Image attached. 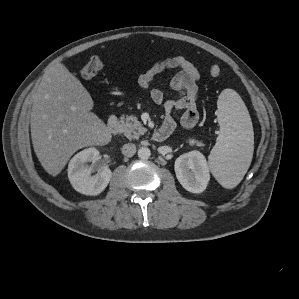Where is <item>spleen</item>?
Returning <instances> with one entry per match:
<instances>
[{"instance_id":"3e777b00","label":"spleen","mask_w":299,"mask_h":299,"mask_svg":"<svg viewBox=\"0 0 299 299\" xmlns=\"http://www.w3.org/2000/svg\"><path fill=\"white\" fill-rule=\"evenodd\" d=\"M220 134L209 155V168L227 189L245 176L253 156L254 137L249 112L237 92L225 89L217 101Z\"/></svg>"}]
</instances>
